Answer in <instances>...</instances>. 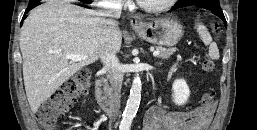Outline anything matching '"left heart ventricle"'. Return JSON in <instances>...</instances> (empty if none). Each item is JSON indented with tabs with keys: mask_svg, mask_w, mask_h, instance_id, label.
<instances>
[{
	"mask_svg": "<svg viewBox=\"0 0 257 130\" xmlns=\"http://www.w3.org/2000/svg\"><path fill=\"white\" fill-rule=\"evenodd\" d=\"M142 3L150 6H155L163 3L166 0H140Z\"/></svg>",
	"mask_w": 257,
	"mask_h": 130,
	"instance_id": "1",
	"label": "left heart ventricle"
}]
</instances>
